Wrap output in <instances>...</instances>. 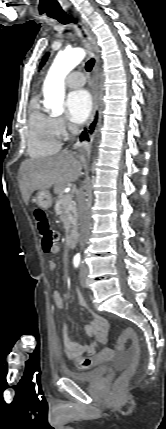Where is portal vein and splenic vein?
Segmentation results:
<instances>
[{"label": "portal vein and splenic vein", "instance_id": "18ae733b", "mask_svg": "<svg viewBox=\"0 0 166 429\" xmlns=\"http://www.w3.org/2000/svg\"><path fill=\"white\" fill-rule=\"evenodd\" d=\"M70 198H71V196H70V195H68V196H67V199L69 200Z\"/></svg>", "mask_w": 166, "mask_h": 429}]
</instances>
